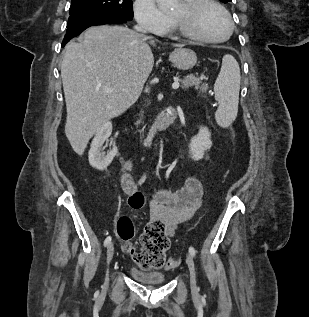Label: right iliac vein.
I'll return each mask as SVG.
<instances>
[{"label":"right iliac vein","instance_id":"63e3f726","mask_svg":"<svg viewBox=\"0 0 309 317\" xmlns=\"http://www.w3.org/2000/svg\"><path fill=\"white\" fill-rule=\"evenodd\" d=\"M113 254H114V245L113 243H110L107 247V257H106L108 265L110 264L113 258ZM107 286H108V276H106L105 283H104V287L106 288Z\"/></svg>","mask_w":309,"mask_h":317}]
</instances>
